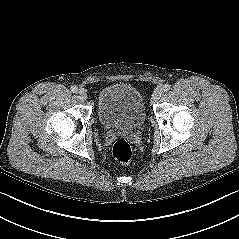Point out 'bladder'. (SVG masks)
<instances>
[{"instance_id": "obj_1", "label": "bladder", "mask_w": 239, "mask_h": 239, "mask_svg": "<svg viewBox=\"0 0 239 239\" xmlns=\"http://www.w3.org/2000/svg\"><path fill=\"white\" fill-rule=\"evenodd\" d=\"M145 106L141 93L127 83L104 87L98 96V117L106 129L132 130L145 121Z\"/></svg>"}]
</instances>
